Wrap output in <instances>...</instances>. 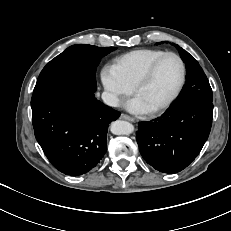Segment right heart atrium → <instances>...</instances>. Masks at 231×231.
<instances>
[{"instance_id": "1", "label": "right heart atrium", "mask_w": 231, "mask_h": 231, "mask_svg": "<svg viewBox=\"0 0 231 231\" xmlns=\"http://www.w3.org/2000/svg\"><path fill=\"white\" fill-rule=\"evenodd\" d=\"M104 97L111 106H118L123 98L130 95L132 87L126 84L111 65H105L100 72Z\"/></svg>"}]
</instances>
